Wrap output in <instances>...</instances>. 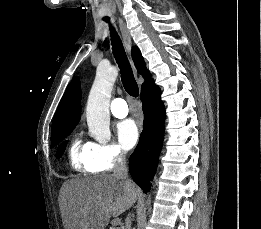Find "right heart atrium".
<instances>
[{"instance_id":"obj_1","label":"right heart atrium","mask_w":261,"mask_h":229,"mask_svg":"<svg viewBox=\"0 0 261 229\" xmlns=\"http://www.w3.org/2000/svg\"><path fill=\"white\" fill-rule=\"evenodd\" d=\"M92 144L90 164L94 172H109L125 164L126 153L116 142L102 141Z\"/></svg>"}]
</instances>
